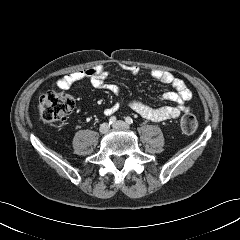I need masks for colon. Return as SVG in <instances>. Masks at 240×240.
I'll list each match as a JSON object with an SVG mask.
<instances>
[{
	"label": "colon",
	"instance_id": "1",
	"mask_svg": "<svg viewBox=\"0 0 240 240\" xmlns=\"http://www.w3.org/2000/svg\"><path fill=\"white\" fill-rule=\"evenodd\" d=\"M39 119L44 125H53L64 121L74 108L73 98L61 91H48L39 102ZM198 122L193 114H185L180 120V127L184 133L196 131Z\"/></svg>",
	"mask_w": 240,
	"mask_h": 240
}]
</instances>
